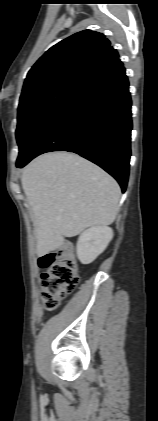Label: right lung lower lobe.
I'll return each mask as SVG.
<instances>
[{"instance_id":"1","label":"right lung lower lobe","mask_w":158,"mask_h":421,"mask_svg":"<svg viewBox=\"0 0 158 421\" xmlns=\"http://www.w3.org/2000/svg\"><path fill=\"white\" fill-rule=\"evenodd\" d=\"M120 59L86 81L43 129L24 167L36 156L69 151L94 162L112 175L125 192L131 156V98Z\"/></svg>"}]
</instances>
